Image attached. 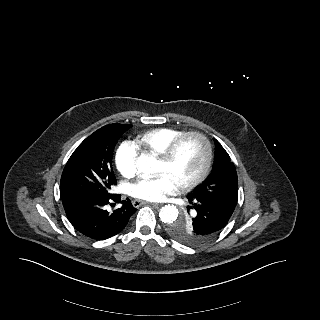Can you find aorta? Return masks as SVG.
Instances as JSON below:
<instances>
[{
  "instance_id": "obj_1",
  "label": "aorta",
  "mask_w": 320,
  "mask_h": 320,
  "mask_svg": "<svg viewBox=\"0 0 320 320\" xmlns=\"http://www.w3.org/2000/svg\"><path fill=\"white\" fill-rule=\"evenodd\" d=\"M158 160L152 156L142 154L136 161V168L141 174H154L157 172ZM179 211L176 206L168 204L160 209L159 217L162 222L170 224L178 218Z\"/></svg>"
}]
</instances>
